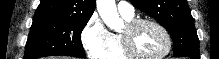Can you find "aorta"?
<instances>
[{
    "label": "aorta",
    "mask_w": 219,
    "mask_h": 59,
    "mask_svg": "<svg viewBox=\"0 0 219 59\" xmlns=\"http://www.w3.org/2000/svg\"><path fill=\"white\" fill-rule=\"evenodd\" d=\"M97 10L104 23L110 29H118L122 20L117 13L115 0H97Z\"/></svg>",
    "instance_id": "obj_1"
}]
</instances>
